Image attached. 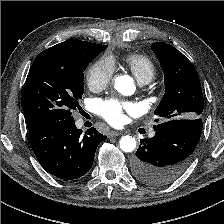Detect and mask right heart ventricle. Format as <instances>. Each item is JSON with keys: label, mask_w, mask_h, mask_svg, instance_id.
Instances as JSON below:
<instances>
[{"label": "right heart ventricle", "mask_w": 224, "mask_h": 224, "mask_svg": "<svg viewBox=\"0 0 224 224\" xmlns=\"http://www.w3.org/2000/svg\"><path fill=\"white\" fill-rule=\"evenodd\" d=\"M123 63L140 83H148L156 76L154 62L144 54H127L123 58Z\"/></svg>", "instance_id": "obj_1"}]
</instances>
